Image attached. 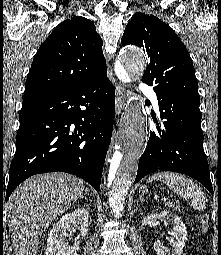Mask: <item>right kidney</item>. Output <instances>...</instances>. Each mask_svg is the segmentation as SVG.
I'll return each mask as SVG.
<instances>
[{
	"label": "right kidney",
	"instance_id": "ca27d5eb",
	"mask_svg": "<svg viewBox=\"0 0 221 255\" xmlns=\"http://www.w3.org/2000/svg\"><path fill=\"white\" fill-rule=\"evenodd\" d=\"M89 214L86 209L78 208L65 214L53 226L48 234L46 255H77L79 250V237L75 239L73 246H66L65 239L70 237L75 228L80 229V235L84 237L88 232Z\"/></svg>",
	"mask_w": 221,
	"mask_h": 255
}]
</instances>
